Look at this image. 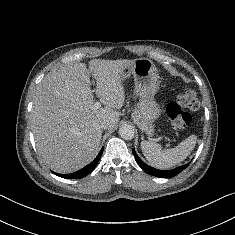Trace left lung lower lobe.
I'll use <instances>...</instances> for the list:
<instances>
[{
	"label": "left lung lower lobe",
	"mask_w": 235,
	"mask_h": 235,
	"mask_svg": "<svg viewBox=\"0 0 235 235\" xmlns=\"http://www.w3.org/2000/svg\"><path fill=\"white\" fill-rule=\"evenodd\" d=\"M133 154H134V157L138 163V165L148 174L150 175H153V176H156V177H161V178H169V177H173L175 175H177L178 173H180L182 170H184L185 168H187V166L189 165L186 164V165H183V166H180V167H177L173 170H169V171H166V170H158V169H155L153 167H150L148 166L147 164H145L139 157L138 155L136 154L135 150L133 149Z\"/></svg>",
	"instance_id": "1"
}]
</instances>
